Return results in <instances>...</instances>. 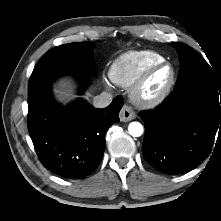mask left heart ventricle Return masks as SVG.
Instances as JSON below:
<instances>
[{
    "mask_svg": "<svg viewBox=\"0 0 221 221\" xmlns=\"http://www.w3.org/2000/svg\"><path fill=\"white\" fill-rule=\"evenodd\" d=\"M170 68L169 67H163L157 70L150 80L148 81L144 94L145 96H153L157 94L159 91H161L167 82L169 81L170 78Z\"/></svg>",
    "mask_w": 221,
    "mask_h": 221,
    "instance_id": "b2bd125f",
    "label": "left heart ventricle"
}]
</instances>
